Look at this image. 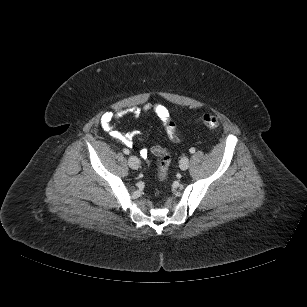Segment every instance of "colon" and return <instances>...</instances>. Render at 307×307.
Masks as SVG:
<instances>
[{
  "label": "colon",
  "mask_w": 307,
  "mask_h": 307,
  "mask_svg": "<svg viewBox=\"0 0 307 307\" xmlns=\"http://www.w3.org/2000/svg\"><path fill=\"white\" fill-rule=\"evenodd\" d=\"M201 122L208 128L215 129L220 126V120L218 117L211 114H204L201 117ZM166 133L170 140L178 141L179 137L176 132V126L174 122L168 118L165 121ZM151 152L157 159V173L161 181H164L168 176V169L170 165V155L161 146L155 145L151 148Z\"/></svg>",
  "instance_id": "colon-1"
}]
</instances>
